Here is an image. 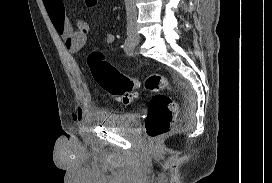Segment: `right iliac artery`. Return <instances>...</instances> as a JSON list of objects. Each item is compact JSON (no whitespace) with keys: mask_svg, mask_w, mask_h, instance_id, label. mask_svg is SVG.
Wrapping results in <instances>:
<instances>
[{"mask_svg":"<svg viewBox=\"0 0 272 183\" xmlns=\"http://www.w3.org/2000/svg\"><path fill=\"white\" fill-rule=\"evenodd\" d=\"M123 49L128 55L133 54L134 46H133V43L129 37H127L125 39V42L123 44Z\"/></svg>","mask_w":272,"mask_h":183,"instance_id":"1","label":"right iliac artery"}]
</instances>
